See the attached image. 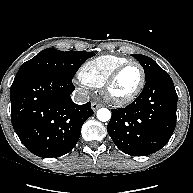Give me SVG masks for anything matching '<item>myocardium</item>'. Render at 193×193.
Listing matches in <instances>:
<instances>
[{"label": "myocardium", "mask_w": 193, "mask_h": 193, "mask_svg": "<svg viewBox=\"0 0 193 193\" xmlns=\"http://www.w3.org/2000/svg\"><path fill=\"white\" fill-rule=\"evenodd\" d=\"M129 66H136L141 74L140 77V82L137 86V88L128 96L126 97H115L111 94V88L114 85L116 79L118 78V76L121 74V72L123 70H125L127 67ZM146 83V74H145V70L142 67V65L136 61H128L120 66H118L117 68H115L110 75L106 78V80L104 81L103 85H102V95L105 98V100L107 102H109L110 104L114 105V106H125L130 104L131 102H133L142 92L144 86Z\"/></svg>", "instance_id": "1"}]
</instances>
